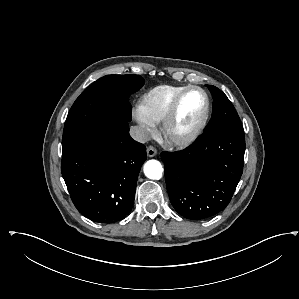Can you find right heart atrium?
Wrapping results in <instances>:
<instances>
[{
    "label": "right heart atrium",
    "instance_id": "obj_1",
    "mask_svg": "<svg viewBox=\"0 0 299 299\" xmlns=\"http://www.w3.org/2000/svg\"><path fill=\"white\" fill-rule=\"evenodd\" d=\"M134 118L140 125L145 137H149L155 133L154 124L151 123L147 118H145L139 109L134 111Z\"/></svg>",
    "mask_w": 299,
    "mask_h": 299
}]
</instances>
